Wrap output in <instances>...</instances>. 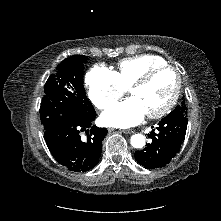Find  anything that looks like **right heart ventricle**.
I'll return each mask as SVG.
<instances>
[{"label":"right heart ventricle","instance_id":"right-heart-ventricle-1","mask_svg":"<svg viewBox=\"0 0 221 221\" xmlns=\"http://www.w3.org/2000/svg\"><path fill=\"white\" fill-rule=\"evenodd\" d=\"M163 64H166V61L159 56L138 55L119 61L114 73L121 85L129 88L148 69Z\"/></svg>","mask_w":221,"mask_h":221}]
</instances>
